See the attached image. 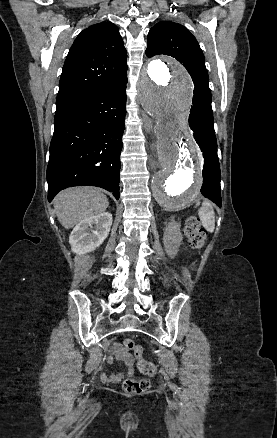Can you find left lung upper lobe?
Instances as JSON below:
<instances>
[{
    "mask_svg": "<svg viewBox=\"0 0 277 438\" xmlns=\"http://www.w3.org/2000/svg\"><path fill=\"white\" fill-rule=\"evenodd\" d=\"M146 55H170L187 69L194 82L193 106L211 109L209 77L204 55L195 37L181 24L171 21L157 23L148 33Z\"/></svg>",
    "mask_w": 277,
    "mask_h": 438,
    "instance_id": "left-lung-upper-lobe-1",
    "label": "left lung upper lobe"
}]
</instances>
